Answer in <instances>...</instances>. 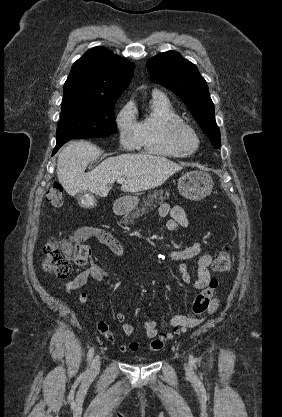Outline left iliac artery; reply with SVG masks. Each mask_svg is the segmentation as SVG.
<instances>
[{
  "instance_id": "44dca946",
  "label": "left iliac artery",
  "mask_w": 282,
  "mask_h": 417,
  "mask_svg": "<svg viewBox=\"0 0 282 417\" xmlns=\"http://www.w3.org/2000/svg\"><path fill=\"white\" fill-rule=\"evenodd\" d=\"M189 364L190 365H195V359H194V357H193V355H189Z\"/></svg>"
}]
</instances>
